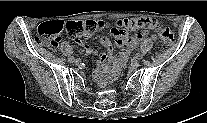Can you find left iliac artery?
Listing matches in <instances>:
<instances>
[{
	"instance_id": "obj_1",
	"label": "left iliac artery",
	"mask_w": 207,
	"mask_h": 123,
	"mask_svg": "<svg viewBox=\"0 0 207 123\" xmlns=\"http://www.w3.org/2000/svg\"><path fill=\"white\" fill-rule=\"evenodd\" d=\"M142 58H143L142 54H140V53H137V54H136V59L140 60V59H142Z\"/></svg>"
}]
</instances>
